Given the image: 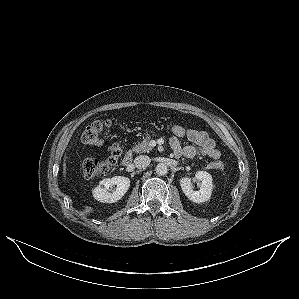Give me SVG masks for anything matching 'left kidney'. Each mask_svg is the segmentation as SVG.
I'll use <instances>...</instances> for the list:
<instances>
[{
  "label": "left kidney",
  "instance_id": "left-kidney-1",
  "mask_svg": "<svg viewBox=\"0 0 299 299\" xmlns=\"http://www.w3.org/2000/svg\"><path fill=\"white\" fill-rule=\"evenodd\" d=\"M196 179L201 181L199 191H194L192 188L191 179L183 177L180 179V186L183 193L187 198L195 203H202L208 201L211 197L213 184L212 176L206 171H197L195 174Z\"/></svg>",
  "mask_w": 299,
  "mask_h": 299
}]
</instances>
